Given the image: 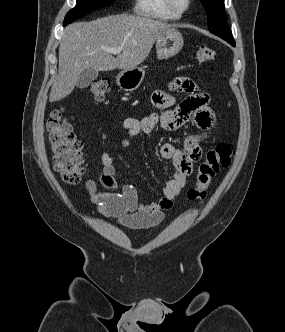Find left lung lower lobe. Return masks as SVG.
Returning a JSON list of instances; mask_svg holds the SVG:
<instances>
[{
    "instance_id": "obj_1",
    "label": "left lung lower lobe",
    "mask_w": 285,
    "mask_h": 332,
    "mask_svg": "<svg viewBox=\"0 0 285 332\" xmlns=\"http://www.w3.org/2000/svg\"><path fill=\"white\" fill-rule=\"evenodd\" d=\"M228 43H230L232 46H235V41H227Z\"/></svg>"
}]
</instances>
